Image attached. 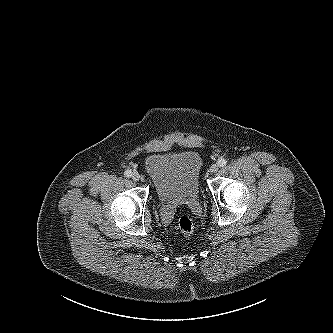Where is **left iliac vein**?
<instances>
[{
  "label": "left iliac vein",
  "instance_id": "1",
  "mask_svg": "<svg viewBox=\"0 0 333 333\" xmlns=\"http://www.w3.org/2000/svg\"><path fill=\"white\" fill-rule=\"evenodd\" d=\"M219 165L218 164H213L210 168L211 173H215L218 171Z\"/></svg>",
  "mask_w": 333,
  "mask_h": 333
}]
</instances>
